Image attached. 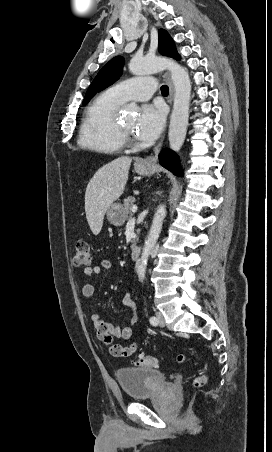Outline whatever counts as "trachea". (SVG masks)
Masks as SVG:
<instances>
[{
    "label": "trachea",
    "mask_w": 272,
    "mask_h": 452,
    "mask_svg": "<svg viewBox=\"0 0 272 452\" xmlns=\"http://www.w3.org/2000/svg\"><path fill=\"white\" fill-rule=\"evenodd\" d=\"M168 92H169L168 86L163 85V86L161 87V93H162L163 95H168Z\"/></svg>",
    "instance_id": "1"
}]
</instances>
